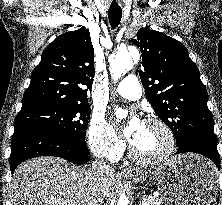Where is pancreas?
I'll list each match as a JSON object with an SVG mask.
<instances>
[{"label": "pancreas", "mask_w": 222, "mask_h": 205, "mask_svg": "<svg viewBox=\"0 0 222 205\" xmlns=\"http://www.w3.org/2000/svg\"><path fill=\"white\" fill-rule=\"evenodd\" d=\"M141 205H161V201L153 196H143Z\"/></svg>", "instance_id": "cf45deb5"}]
</instances>
